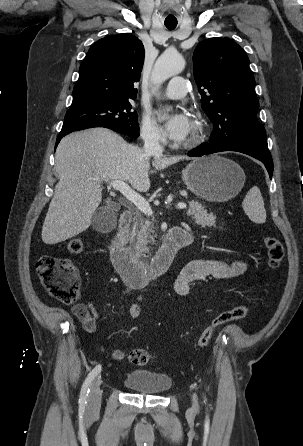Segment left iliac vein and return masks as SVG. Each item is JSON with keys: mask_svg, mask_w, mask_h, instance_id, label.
Segmentation results:
<instances>
[{"mask_svg": "<svg viewBox=\"0 0 303 446\" xmlns=\"http://www.w3.org/2000/svg\"><path fill=\"white\" fill-rule=\"evenodd\" d=\"M193 402H194V408H197V399L196 396L193 397Z\"/></svg>", "mask_w": 303, "mask_h": 446, "instance_id": "obj_1", "label": "left iliac vein"}]
</instances>
